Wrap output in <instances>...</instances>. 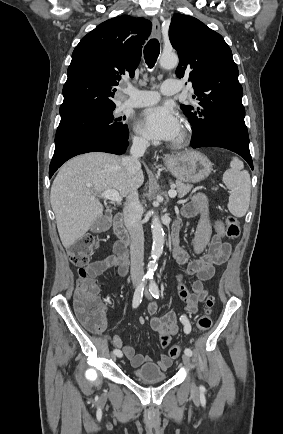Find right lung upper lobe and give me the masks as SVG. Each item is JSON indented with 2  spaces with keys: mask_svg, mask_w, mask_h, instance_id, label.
<instances>
[{
  "mask_svg": "<svg viewBox=\"0 0 283 434\" xmlns=\"http://www.w3.org/2000/svg\"><path fill=\"white\" fill-rule=\"evenodd\" d=\"M150 33L149 20L118 16L85 35L72 53L61 117L115 108V87L123 74L134 76Z\"/></svg>",
  "mask_w": 283,
  "mask_h": 434,
  "instance_id": "obj_1",
  "label": "right lung upper lobe"
}]
</instances>
